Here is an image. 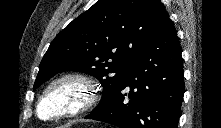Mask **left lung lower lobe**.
Segmentation results:
<instances>
[{
    "instance_id": "1",
    "label": "left lung lower lobe",
    "mask_w": 221,
    "mask_h": 128,
    "mask_svg": "<svg viewBox=\"0 0 221 128\" xmlns=\"http://www.w3.org/2000/svg\"><path fill=\"white\" fill-rule=\"evenodd\" d=\"M183 94L181 48L168 18L135 56L111 100L85 118L118 128H177Z\"/></svg>"
}]
</instances>
